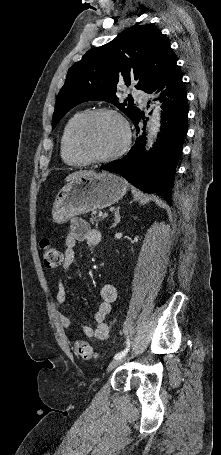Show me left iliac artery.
Here are the masks:
<instances>
[{
    "mask_svg": "<svg viewBox=\"0 0 221 455\" xmlns=\"http://www.w3.org/2000/svg\"><path fill=\"white\" fill-rule=\"evenodd\" d=\"M129 348H130V341H129V339H127V347H126V349L121 351L120 353H117L114 356V359H120V358L124 357L126 355V353L128 352Z\"/></svg>",
    "mask_w": 221,
    "mask_h": 455,
    "instance_id": "left-iliac-artery-1",
    "label": "left iliac artery"
}]
</instances>
